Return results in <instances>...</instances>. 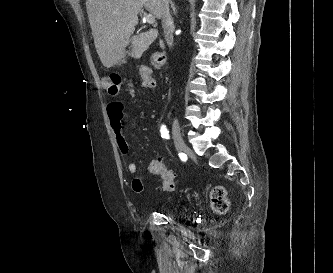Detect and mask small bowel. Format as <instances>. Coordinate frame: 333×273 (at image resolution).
Masks as SVG:
<instances>
[{
  "label": "small bowel",
  "instance_id": "1",
  "mask_svg": "<svg viewBox=\"0 0 333 273\" xmlns=\"http://www.w3.org/2000/svg\"><path fill=\"white\" fill-rule=\"evenodd\" d=\"M139 76L142 77V84L144 91H155L156 85L153 77V68L150 62H143L140 66ZM106 85V81L104 82ZM107 114L112 131L115 134L116 143L122 155L129 154V145L123 134V104L121 102H112L107 107ZM127 171L129 174L134 175L137 172V166L134 162L127 163ZM157 176V175H155ZM132 190L136 193H141L144 190V184L139 177H134L132 180Z\"/></svg>",
  "mask_w": 333,
  "mask_h": 273
}]
</instances>
